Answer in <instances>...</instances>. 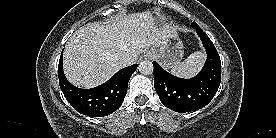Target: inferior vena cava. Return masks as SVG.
<instances>
[{
  "label": "inferior vena cava",
  "instance_id": "inferior-vena-cava-1",
  "mask_svg": "<svg viewBox=\"0 0 276 138\" xmlns=\"http://www.w3.org/2000/svg\"><path fill=\"white\" fill-rule=\"evenodd\" d=\"M118 60L123 66H128L133 63L134 58L129 53L124 52L118 56Z\"/></svg>",
  "mask_w": 276,
  "mask_h": 138
}]
</instances>
